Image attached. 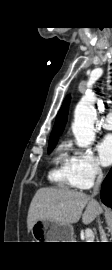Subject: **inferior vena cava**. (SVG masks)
<instances>
[{
    "instance_id": "1",
    "label": "inferior vena cava",
    "mask_w": 112,
    "mask_h": 270,
    "mask_svg": "<svg viewBox=\"0 0 112 270\" xmlns=\"http://www.w3.org/2000/svg\"><path fill=\"white\" fill-rule=\"evenodd\" d=\"M97 179H96V183H95V186H94V189H93V193H92V196L96 195L98 192H99V188H100V185L103 181V173H102V170L100 167H97ZM98 223H99V232H100V238H101V242H106V235H105V232L101 226V223L100 221L98 220Z\"/></svg>"
}]
</instances>
